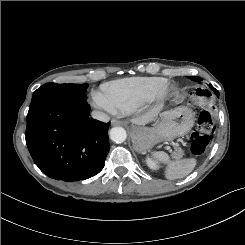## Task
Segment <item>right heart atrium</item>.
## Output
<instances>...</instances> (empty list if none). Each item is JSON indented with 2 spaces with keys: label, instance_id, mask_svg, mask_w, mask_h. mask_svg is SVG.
Segmentation results:
<instances>
[{
  "label": "right heart atrium",
  "instance_id": "right-heart-atrium-1",
  "mask_svg": "<svg viewBox=\"0 0 245 245\" xmlns=\"http://www.w3.org/2000/svg\"><path fill=\"white\" fill-rule=\"evenodd\" d=\"M91 104L94 108L108 114H115L113 106L104 98L101 93H94L92 95Z\"/></svg>",
  "mask_w": 245,
  "mask_h": 245
}]
</instances>
